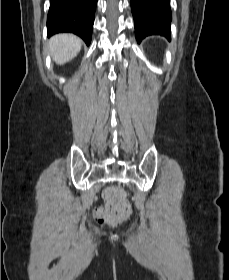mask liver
Instances as JSON below:
<instances>
[{"instance_id": "6515ba94", "label": "liver", "mask_w": 229, "mask_h": 280, "mask_svg": "<svg viewBox=\"0 0 229 280\" xmlns=\"http://www.w3.org/2000/svg\"><path fill=\"white\" fill-rule=\"evenodd\" d=\"M81 45V39L75 35L58 34L49 41L50 54L57 64L63 65L80 52Z\"/></svg>"}]
</instances>
